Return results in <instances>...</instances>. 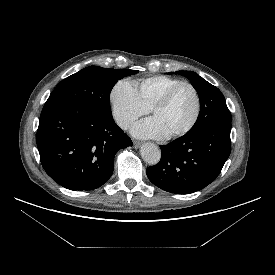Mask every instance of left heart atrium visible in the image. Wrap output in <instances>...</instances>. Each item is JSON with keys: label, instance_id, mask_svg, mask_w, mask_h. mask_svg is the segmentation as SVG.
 Here are the masks:
<instances>
[{"label": "left heart atrium", "instance_id": "1", "mask_svg": "<svg viewBox=\"0 0 275 275\" xmlns=\"http://www.w3.org/2000/svg\"><path fill=\"white\" fill-rule=\"evenodd\" d=\"M132 134L144 139H163L167 137V133L154 117L136 123L132 128Z\"/></svg>", "mask_w": 275, "mask_h": 275}]
</instances>
